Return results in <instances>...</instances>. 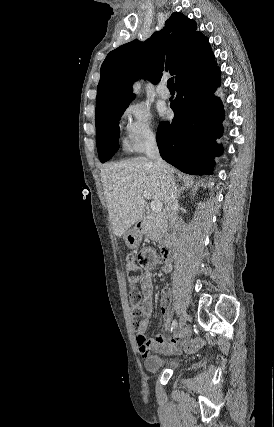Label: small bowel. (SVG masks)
I'll return each instance as SVG.
<instances>
[{
  "mask_svg": "<svg viewBox=\"0 0 274 427\" xmlns=\"http://www.w3.org/2000/svg\"><path fill=\"white\" fill-rule=\"evenodd\" d=\"M146 255V271L142 274L139 284L141 287L142 301L141 308L143 318L135 324L137 343L139 345L140 353L143 357H149L158 353H178L181 351L183 345L188 341L187 331H178L168 336L156 335L152 339H147L144 333L147 331L150 319L153 312V283L149 273V269L157 265L159 258L157 253L152 248H146L144 251ZM164 269L169 270L171 266L170 259L162 257ZM160 314L163 318V327L167 328L170 324L171 313L169 310V294L163 291L160 295Z\"/></svg>",
  "mask_w": 274,
  "mask_h": 427,
  "instance_id": "c3829d8e",
  "label": "small bowel"
}]
</instances>
